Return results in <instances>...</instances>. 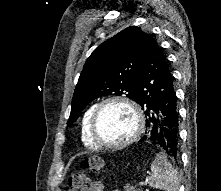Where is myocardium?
<instances>
[{
	"label": "myocardium",
	"instance_id": "1",
	"mask_svg": "<svg viewBox=\"0 0 221 191\" xmlns=\"http://www.w3.org/2000/svg\"><path fill=\"white\" fill-rule=\"evenodd\" d=\"M112 103H120L127 106L133 112L135 117V128L133 133L127 139L119 143L105 142L100 138L98 134L97 124L99 116L103 108ZM144 126H145L144 115L142 113L140 106L135 101L125 96H118V95L110 96L96 105L90 119V136L92 140L97 145H99V147L110 148V149H121L137 141L144 130Z\"/></svg>",
	"mask_w": 221,
	"mask_h": 191
}]
</instances>
